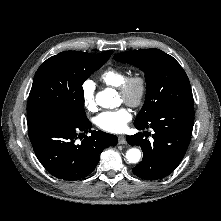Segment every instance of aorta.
<instances>
[{"label":"aorta","mask_w":221,"mask_h":221,"mask_svg":"<svg viewBox=\"0 0 221 221\" xmlns=\"http://www.w3.org/2000/svg\"><path fill=\"white\" fill-rule=\"evenodd\" d=\"M115 91L105 89L96 95V103L103 108H111L114 105ZM141 158V151L137 148H131L126 152V159L129 163H138Z\"/></svg>","instance_id":"obj_1"}]
</instances>
